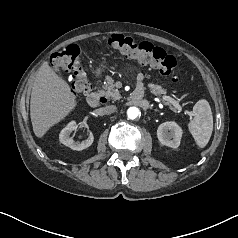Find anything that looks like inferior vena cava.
<instances>
[{
  "label": "inferior vena cava",
  "instance_id": "inferior-vena-cava-1",
  "mask_svg": "<svg viewBox=\"0 0 238 238\" xmlns=\"http://www.w3.org/2000/svg\"><path fill=\"white\" fill-rule=\"evenodd\" d=\"M116 109L117 108L115 105H107L102 108V112L106 115H109V114H112L113 112H115Z\"/></svg>",
  "mask_w": 238,
  "mask_h": 238
}]
</instances>
